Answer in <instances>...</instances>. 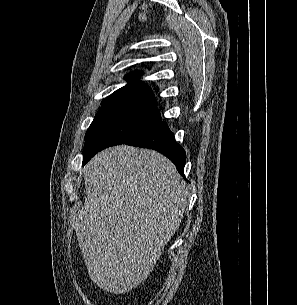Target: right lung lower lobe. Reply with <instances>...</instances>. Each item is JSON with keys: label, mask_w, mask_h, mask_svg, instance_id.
I'll list each match as a JSON object with an SVG mask.
<instances>
[{"label": "right lung lower lobe", "mask_w": 297, "mask_h": 305, "mask_svg": "<svg viewBox=\"0 0 297 305\" xmlns=\"http://www.w3.org/2000/svg\"><path fill=\"white\" fill-rule=\"evenodd\" d=\"M124 143L159 151L168 157L175 164L178 172L184 176L183 171L186 162V153L182 146L175 141L173 133L165 122L160 121L143 134ZM99 151L101 150L93 153L90 159Z\"/></svg>", "instance_id": "right-lung-lower-lobe-1"}]
</instances>
